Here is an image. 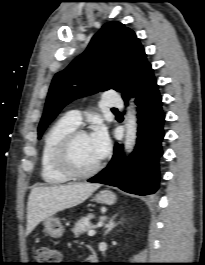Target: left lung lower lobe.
<instances>
[{
    "mask_svg": "<svg viewBox=\"0 0 205 265\" xmlns=\"http://www.w3.org/2000/svg\"><path fill=\"white\" fill-rule=\"evenodd\" d=\"M136 96L138 106V138L135 150L123 158V146L116 144L114 155L108 166L88 182L116 186L137 195L154 194L159 184V158L162 156L161 141L164 137L162 98L158 91L153 70L148 67L126 101Z\"/></svg>",
    "mask_w": 205,
    "mask_h": 265,
    "instance_id": "obj_1",
    "label": "left lung lower lobe"
}]
</instances>
